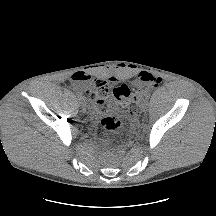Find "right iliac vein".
Here are the masks:
<instances>
[{"label": "right iliac vein", "mask_w": 216, "mask_h": 216, "mask_svg": "<svg viewBox=\"0 0 216 216\" xmlns=\"http://www.w3.org/2000/svg\"><path fill=\"white\" fill-rule=\"evenodd\" d=\"M80 104L81 105H84L85 104V100L82 98V99H80Z\"/></svg>", "instance_id": "63e3f726"}]
</instances>
